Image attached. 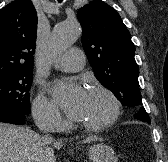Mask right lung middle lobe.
Here are the masks:
<instances>
[{
	"instance_id": "right-lung-middle-lobe-1",
	"label": "right lung middle lobe",
	"mask_w": 168,
	"mask_h": 162,
	"mask_svg": "<svg viewBox=\"0 0 168 162\" xmlns=\"http://www.w3.org/2000/svg\"><path fill=\"white\" fill-rule=\"evenodd\" d=\"M32 71L0 76V110L30 114Z\"/></svg>"
}]
</instances>
